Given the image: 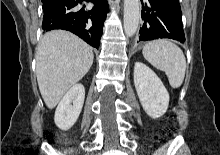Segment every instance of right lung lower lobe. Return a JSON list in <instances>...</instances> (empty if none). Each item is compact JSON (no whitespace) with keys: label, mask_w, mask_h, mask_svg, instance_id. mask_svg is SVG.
Listing matches in <instances>:
<instances>
[{"label":"right lung lower lobe","mask_w":220,"mask_h":155,"mask_svg":"<svg viewBox=\"0 0 220 155\" xmlns=\"http://www.w3.org/2000/svg\"><path fill=\"white\" fill-rule=\"evenodd\" d=\"M93 2L95 6L86 10L85 5L78 8L75 0H42L43 23L42 29H64L78 35L91 46L98 48L103 32V23L108 12L106 0H85Z\"/></svg>","instance_id":"98d812e1"}]
</instances>
